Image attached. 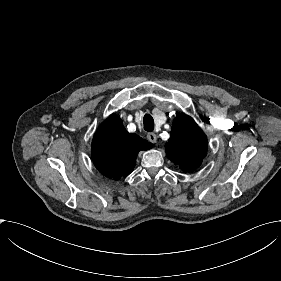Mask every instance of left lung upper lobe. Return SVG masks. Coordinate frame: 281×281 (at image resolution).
Wrapping results in <instances>:
<instances>
[{"instance_id": "1", "label": "left lung upper lobe", "mask_w": 281, "mask_h": 281, "mask_svg": "<svg viewBox=\"0 0 281 281\" xmlns=\"http://www.w3.org/2000/svg\"><path fill=\"white\" fill-rule=\"evenodd\" d=\"M207 147V138L195 121L187 115H177L165 146L168 158L184 172H191L200 166Z\"/></svg>"}]
</instances>
